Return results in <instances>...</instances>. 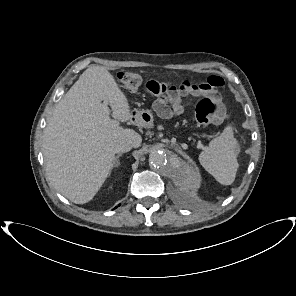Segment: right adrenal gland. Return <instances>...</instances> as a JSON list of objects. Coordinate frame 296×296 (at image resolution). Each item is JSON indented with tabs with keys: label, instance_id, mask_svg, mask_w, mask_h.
Instances as JSON below:
<instances>
[{
	"label": "right adrenal gland",
	"instance_id": "1",
	"mask_svg": "<svg viewBox=\"0 0 296 296\" xmlns=\"http://www.w3.org/2000/svg\"><path fill=\"white\" fill-rule=\"evenodd\" d=\"M121 156H122L121 153H119V154L116 155V157H115V159H114V161H113V164H112L111 170H112L113 168L119 167V165H120L119 158H120ZM111 170H110V171H111Z\"/></svg>",
	"mask_w": 296,
	"mask_h": 296
}]
</instances>
